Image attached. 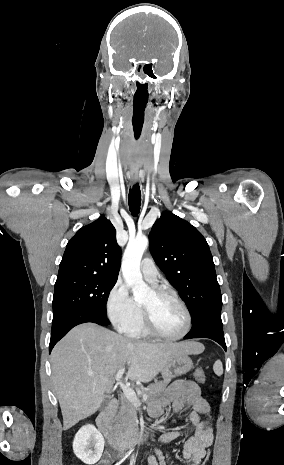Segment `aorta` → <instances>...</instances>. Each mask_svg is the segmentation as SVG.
Instances as JSON below:
<instances>
[{
	"label": "aorta",
	"mask_w": 284,
	"mask_h": 465,
	"mask_svg": "<svg viewBox=\"0 0 284 465\" xmlns=\"http://www.w3.org/2000/svg\"><path fill=\"white\" fill-rule=\"evenodd\" d=\"M148 246V238L145 235L130 239L122 260V274L125 282L131 287L134 300L144 302L151 295V289L145 284L140 272V262L145 249Z\"/></svg>",
	"instance_id": "aorta-1"
}]
</instances>
